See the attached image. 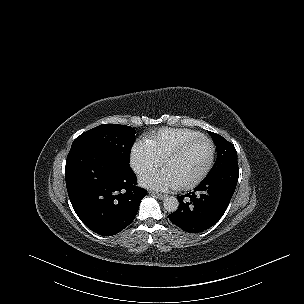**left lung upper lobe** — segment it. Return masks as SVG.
<instances>
[{"mask_svg": "<svg viewBox=\"0 0 304 304\" xmlns=\"http://www.w3.org/2000/svg\"><path fill=\"white\" fill-rule=\"evenodd\" d=\"M210 135L217 148V159L206 177L215 175L228 168L238 167L237 152L234 145L216 133L210 132Z\"/></svg>", "mask_w": 304, "mask_h": 304, "instance_id": "5c2ea615", "label": "left lung upper lobe"}]
</instances>
